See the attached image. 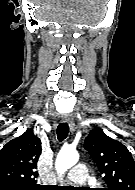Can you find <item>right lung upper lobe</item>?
Masks as SVG:
<instances>
[{
  "instance_id": "cb5924a9",
  "label": "right lung upper lobe",
  "mask_w": 135,
  "mask_h": 190,
  "mask_svg": "<svg viewBox=\"0 0 135 190\" xmlns=\"http://www.w3.org/2000/svg\"><path fill=\"white\" fill-rule=\"evenodd\" d=\"M41 140L32 130L11 140L0 150V187L40 189L36 184Z\"/></svg>"
}]
</instances>
